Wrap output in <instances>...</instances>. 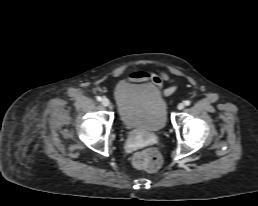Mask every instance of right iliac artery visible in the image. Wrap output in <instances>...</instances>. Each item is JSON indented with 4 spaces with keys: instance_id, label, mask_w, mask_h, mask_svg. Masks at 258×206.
I'll use <instances>...</instances> for the list:
<instances>
[{
    "instance_id": "1",
    "label": "right iliac artery",
    "mask_w": 258,
    "mask_h": 206,
    "mask_svg": "<svg viewBox=\"0 0 258 206\" xmlns=\"http://www.w3.org/2000/svg\"><path fill=\"white\" fill-rule=\"evenodd\" d=\"M97 101H102V98L100 96L96 97Z\"/></svg>"
}]
</instances>
